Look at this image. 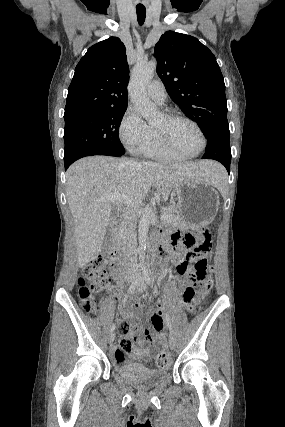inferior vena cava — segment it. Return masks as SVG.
<instances>
[{
	"label": "inferior vena cava",
	"instance_id": "602c4592",
	"mask_svg": "<svg viewBox=\"0 0 285 427\" xmlns=\"http://www.w3.org/2000/svg\"><path fill=\"white\" fill-rule=\"evenodd\" d=\"M124 218V227H123V243L129 252L131 258L128 263V271L129 272H138V266L135 260V256L137 253V239L135 232V218L133 215V209L131 207H127L123 211Z\"/></svg>",
	"mask_w": 285,
	"mask_h": 427
}]
</instances>
